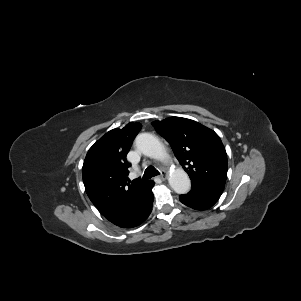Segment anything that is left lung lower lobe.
Returning a JSON list of instances; mask_svg holds the SVG:
<instances>
[{
	"instance_id": "left-lung-lower-lobe-1",
	"label": "left lung lower lobe",
	"mask_w": 301,
	"mask_h": 301,
	"mask_svg": "<svg viewBox=\"0 0 301 301\" xmlns=\"http://www.w3.org/2000/svg\"><path fill=\"white\" fill-rule=\"evenodd\" d=\"M222 192L192 184V189L188 194L179 196L180 201L188 207L196 210H207L212 207L220 198Z\"/></svg>"
}]
</instances>
